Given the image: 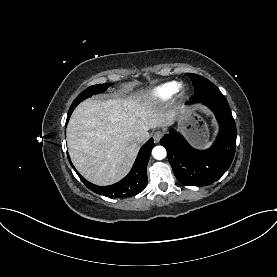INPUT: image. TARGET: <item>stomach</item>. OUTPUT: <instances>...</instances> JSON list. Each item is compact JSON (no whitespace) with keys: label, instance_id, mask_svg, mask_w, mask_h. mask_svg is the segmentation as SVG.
Masks as SVG:
<instances>
[{"label":"stomach","instance_id":"0dacf381","mask_svg":"<svg viewBox=\"0 0 277 277\" xmlns=\"http://www.w3.org/2000/svg\"><path fill=\"white\" fill-rule=\"evenodd\" d=\"M179 127L182 133L193 146H203L209 138L208 126L194 111H182L179 118Z\"/></svg>","mask_w":277,"mask_h":277}]
</instances>
